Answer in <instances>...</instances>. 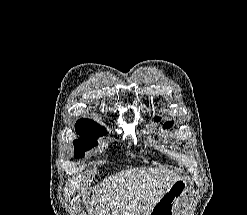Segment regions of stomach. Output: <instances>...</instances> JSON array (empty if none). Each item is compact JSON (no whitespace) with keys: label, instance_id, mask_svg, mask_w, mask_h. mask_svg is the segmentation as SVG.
<instances>
[{"label":"stomach","instance_id":"obj_1","mask_svg":"<svg viewBox=\"0 0 247 215\" xmlns=\"http://www.w3.org/2000/svg\"><path fill=\"white\" fill-rule=\"evenodd\" d=\"M189 190L186 180L182 178L174 180L147 215H177L179 204Z\"/></svg>","mask_w":247,"mask_h":215}]
</instances>
